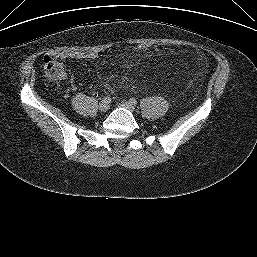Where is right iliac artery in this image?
<instances>
[{"instance_id": "obj_1", "label": "right iliac artery", "mask_w": 257, "mask_h": 257, "mask_svg": "<svg viewBox=\"0 0 257 257\" xmlns=\"http://www.w3.org/2000/svg\"><path fill=\"white\" fill-rule=\"evenodd\" d=\"M102 101L105 102V103H110L112 100L109 96H106L102 99Z\"/></svg>"}]
</instances>
